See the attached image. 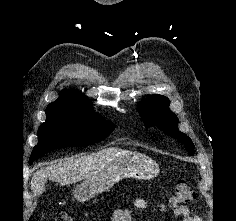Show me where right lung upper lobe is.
<instances>
[{"mask_svg": "<svg viewBox=\"0 0 236 221\" xmlns=\"http://www.w3.org/2000/svg\"><path fill=\"white\" fill-rule=\"evenodd\" d=\"M48 106H65L84 111H93L89 99L79 91L62 90L59 98Z\"/></svg>", "mask_w": 236, "mask_h": 221, "instance_id": "right-lung-upper-lobe-1", "label": "right lung upper lobe"}]
</instances>
